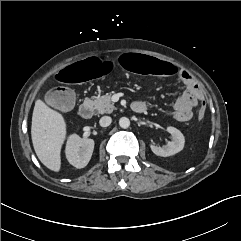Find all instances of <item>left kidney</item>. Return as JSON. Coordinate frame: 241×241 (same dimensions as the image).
<instances>
[{
	"label": "left kidney",
	"instance_id": "obj_1",
	"mask_svg": "<svg viewBox=\"0 0 241 241\" xmlns=\"http://www.w3.org/2000/svg\"><path fill=\"white\" fill-rule=\"evenodd\" d=\"M167 131L172 135V141H169L167 145L158 147L156 145H150L152 152L157 156L168 157L180 152L185 143L183 134L175 127H167Z\"/></svg>",
	"mask_w": 241,
	"mask_h": 241
}]
</instances>
